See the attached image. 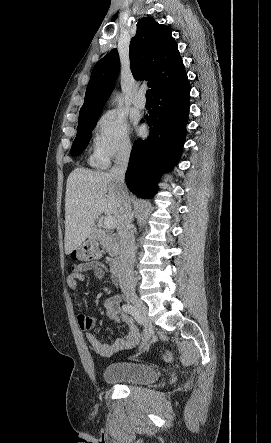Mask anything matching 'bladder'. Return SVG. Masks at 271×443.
<instances>
[{
    "label": "bladder",
    "mask_w": 271,
    "mask_h": 443,
    "mask_svg": "<svg viewBox=\"0 0 271 443\" xmlns=\"http://www.w3.org/2000/svg\"><path fill=\"white\" fill-rule=\"evenodd\" d=\"M103 380L109 384L145 385L158 380L157 370L141 362H116L107 365L102 372Z\"/></svg>",
    "instance_id": "obj_1"
}]
</instances>
